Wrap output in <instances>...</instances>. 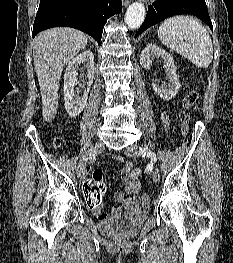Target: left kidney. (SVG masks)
Returning a JSON list of instances; mask_svg holds the SVG:
<instances>
[{
    "label": "left kidney",
    "mask_w": 233,
    "mask_h": 263,
    "mask_svg": "<svg viewBox=\"0 0 233 263\" xmlns=\"http://www.w3.org/2000/svg\"><path fill=\"white\" fill-rule=\"evenodd\" d=\"M155 57H162L164 60L165 73L167 75L168 81H170V85L168 87L164 85L159 86L157 83L153 82L152 87L155 93H157L161 99L169 101L178 93L180 89V83L176 74L174 60L168 52L158 47L156 44H148L140 55L141 66L145 69H149Z\"/></svg>",
    "instance_id": "1"
}]
</instances>
